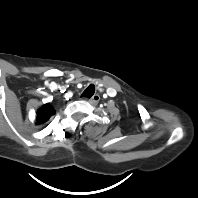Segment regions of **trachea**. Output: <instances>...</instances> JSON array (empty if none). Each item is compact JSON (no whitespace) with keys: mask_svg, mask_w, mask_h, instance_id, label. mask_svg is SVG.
Returning <instances> with one entry per match:
<instances>
[{"mask_svg":"<svg viewBox=\"0 0 198 198\" xmlns=\"http://www.w3.org/2000/svg\"><path fill=\"white\" fill-rule=\"evenodd\" d=\"M94 93H95V86L91 84L82 93V97L91 98Z\"/></svg>","mask_w":198,"mask_h":198,"instance_id":"trachea-1","label":"trachea"}]
</instances>
